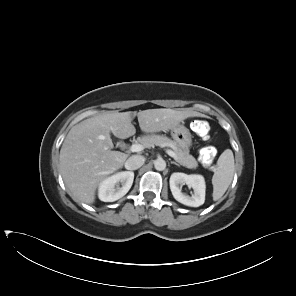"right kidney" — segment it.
<instances>
[{
	"label": "right kidney",
	"mask_w": 296,
	"mask_h": 296,
	"mask_svg": "<svg viewBox=\"0 0 296 296\" xmlns=\"http://www.w3.org/2000/svg\"><path fill=\"white\" fill-rule=\"evenodd\" d=\"M134 180L132 171H123L115 173L105 178L99 185L98 197L103 202H114L122 198L130 190ZM121 183L119 187L117 183Z\"/></svg>",
	"instance_id": "1"
}]
</instances>
